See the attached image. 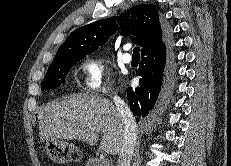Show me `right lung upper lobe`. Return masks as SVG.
Listing matches in <instances>:
<instances>
[{
  "label": "right lung upper lobe",
  "mask_w": 231,
  "mask_h": 166,
  "mask_svg": "<svg viewBox=\"0 0 231 166\" xmlns=\"http://www.w3.org/2000/svg\"><path fill=\"white\" fill-rule=\"evenodd\" d=\"M119 29L123 36H135L132 40L142 47V55L153 52L168 38V30L160 21L156 8L148 4L137 5L119 18L114 16L74 30L59 47L53 61L62 56L89 54L104 45Z\"/></svg>",
  "instance_id": "right-lung-upper-lobe-1"
}]
</instances>
